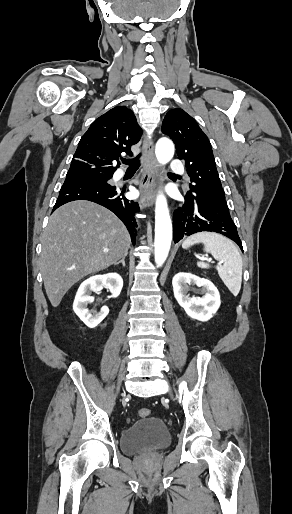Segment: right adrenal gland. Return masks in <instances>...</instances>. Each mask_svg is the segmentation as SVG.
Returning a JSON list of instances; mask_svg holds the SVG:
<instances>
[{
    "label": "right adrenal gland",
    "mask_w": 292,
    "mask_h": 514,
    "mask_svg": "<svg viewBox=\"0 0 292 514\" xmlns=\"http://www.w3.org/2000/svg\"><path fill=\"white\" fill-rule=\"evenodd\" d=\"M125 258H126V256H124V258H122V260H120V262H117V264H114V266H118V264H122V266H126Z\"/></svg>",
    "instance_id": "2a0ac1e0"
}]
</instances>
